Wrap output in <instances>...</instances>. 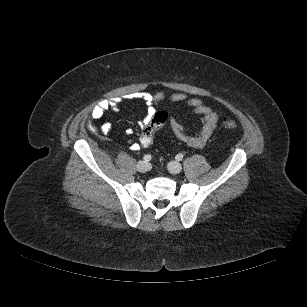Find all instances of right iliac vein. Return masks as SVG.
<instances>
[{"label":"right iliac vein","mask_w":307,"mask_h":307,"mask_svg":"<svg viewBox=\"0 0 307 307\" xmlns=\"http://www.w3.org/2000/svg\"><path fill=\"white\" fill-rule=\"evenodd\" d=\"M137 170L139 172H147L150 170V165L146 161H139L137 163Z\"/></svg>","instance_id":"63e3f726"}]
</instances>
